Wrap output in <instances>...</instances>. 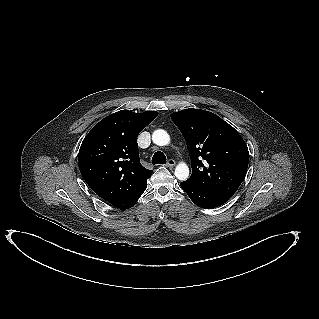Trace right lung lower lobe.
<instances>
[{"label":"right lung lower lobe","mask_w":319,"mask_h":319,"mask_svg":"<svg viewBox=\"0 0 319 319\" xmlns=\"http://www.w3.org/2000/svg\"><path fill=\"white\" fill-rule=\"evenodd\" d=\"M147 188V183L143 186L139 187L136 191L132 194L122 198L118 202L112 204L115 208L125 210L131 208L139 199V197L143 194L145 189Z\"/></svg>","instance_id":"obj_1"}]
</instances>
